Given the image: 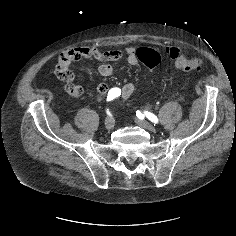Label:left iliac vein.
<instances>
[{
    "label": "left iliac vein",
    "mask_w": 236,
    "mask_h": 236,
    "mask_svg": "<svg viewBox=\"0 0 236 236\" xmlns=\"http://www.w3.org/2000/svg\"><path fill=\"white\" fill-rule=\"evenodd\" d=\"M137 123V125H139L140 127L148 130V131H151V132H155V127L150 124L149 122L145 121V120H142V119H136L135 121Z\"/></svg>",
    "instance_id": "obj_1"
}]
</instances>
